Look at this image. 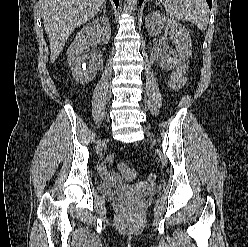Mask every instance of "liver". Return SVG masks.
I'll return each mask as SVG.
<instances>
[{
    "instance_id": "6515ba94",
    "label": "liver",
    "mask_w": 248,
    "mask_h": 247,
    "mask_svg": "<svg viewBox=\"0 0 248 247\" xmlns=\"http://www.w3.org/2000/svg\"><path fill=\"white\" fill-rule=\"evenodd\" d=\"M105 0H40L42 20L54 63L72 32L94 17Z\"/></svg>"
}]
</instances>
